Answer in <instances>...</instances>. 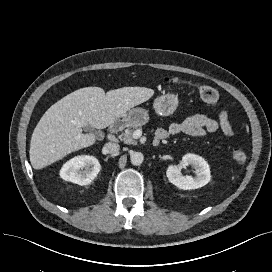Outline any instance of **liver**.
I'll use <instances>...</instances> for the list:
<instances>
[{
	"instance_id": "1",
	"label": "liver",
	"mask_w": 272,
	"mask_h": 272,
	"mask_svg": "<svg viewBox=\"0 0 272 272\" xmlns=\"http://www.w3.org/2000/svg\"><path fill=\"white\" fill-rule=\"evenodd\" d=\"M154 90L123 87L107 93L100 87L78 89L53 104L41 117L30 142V162L42 169L66 155L96 142L82 128L104 129L134 106L149 100Z\"/></svg>"
}]
</instances>
